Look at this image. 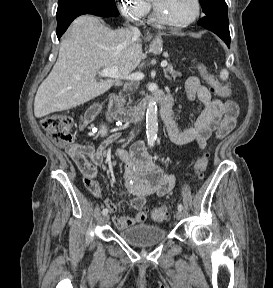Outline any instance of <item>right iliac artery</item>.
<instances>
[{"label": "right iliac artery", "mask_w": 273, "mask_h": 288, "mask_svg": "<svg viewBox=\"0 0 273 288\" xmlns=\"http://www.w3.org/2000/svg\"><path fill=\"white\" fill-rule=\"evenodd\" d=\"M107 213H108V209L107 208L103 209L102 214L106 215Z\"/></svg>", "instance_id": "1"}]
</instances>
